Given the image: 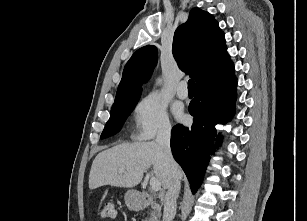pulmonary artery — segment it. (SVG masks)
I'll list each match as a JSON object with an SVG mask.
<instances>
[{
	"instance_id": "pulmonary-artery-1",
	"label": "pulmonary artery",
	"mask_w": 307,
	"mask_h": 221,
	"mask_svg": "<svg viewBox=\"0 0 307 221\" xmlns=\"http://www.w3.org/2000/svg\"><path fill=\"white\" fill-rule=\"evenodd\" d=\"M177 96L180 99H186L188 97V90H187V82L186 81H181L178 84L177 87Z\"/></svg>"
}]
</instances>
